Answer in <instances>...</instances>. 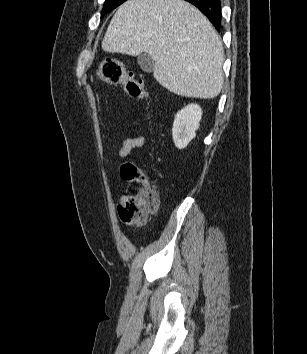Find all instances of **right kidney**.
Listing matches in <instances>:
<instances>
[{
    "instance_id": "1",
    "label": "right kidney",
    "mask_w": 307,
    "mask_h": 354,
    "mask_svg": "<svg viewBox=\"0 0 307 354\" xmlns=\"http://www.w3.org/2000/svg\"><path fill=\"white\" fill-rule=\"evenodd\" d=\"M202 117V109L197 104H189L175 115L172 135L178 149L185 148L195 138Z\"/></svg>"
}]
</instances>
